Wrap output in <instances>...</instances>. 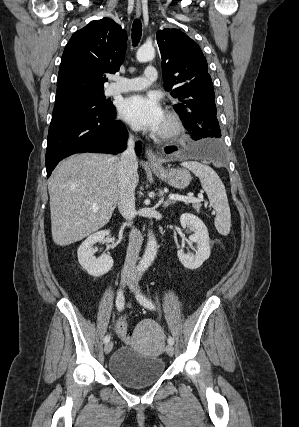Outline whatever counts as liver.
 Returning <instances> with one entry per match:
<instances>
[{"label": "liver", "mask_w": 299, "mask_h": 427, "mask_svg": "<svg viewBox=\"0 0 299 427\" xmlns=\"http://www.w3.org/2000/svg\"><path fill=\"white\" fill-rule=\"evenodd\" d=\"M119 171L118 157L95 153L73 155L56 167L48 183L55 244L77 242L109 222L117 203Z\"/></svg>", "instance_id": "liver-1"}]
</instances>
